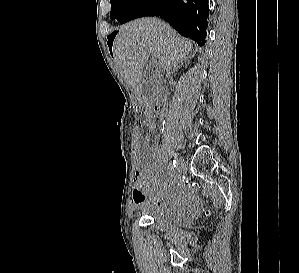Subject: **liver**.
<instances>
[{
  "mask_svg": "<svg viewBox=\"0 0 299 273\" xmlns=\"http://www.w3.org/2000/svg\"><path fill=\"white\" fill-rule=\"evenodd\" d=\"M193 49L169 25L157 18H141L119 28L113 43L115 63L137 97L143 93L142 70L149 55L157 54L156 68L169 71Z\"/></svg>",
  "mask_w": 299,
  "mask_h": 273,
  "instance_id": "obj_1",
  "label": "liver"
}]
</instances>
